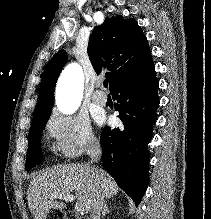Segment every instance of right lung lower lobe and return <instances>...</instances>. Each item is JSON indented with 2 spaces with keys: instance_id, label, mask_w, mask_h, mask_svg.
<instances>
[{
  "instance_id": "obj_1",
  "label": "right lung lower lobe",
  "mask_w": 211,
  "mask_h": 219,
  "mask_svg": "<svg viewBox=\"0 0 211 219\" xmlns=\"http://www.w3.org/2000/svg\"><path fill=\"white\" fill-rule=\"evenodd\" d=\"M158 81L152 59L122 77L110 90L123 126L102 130L103 166L138 205L149 181L147 145L159 105Z\"/></svg>"
}]
</instances>
